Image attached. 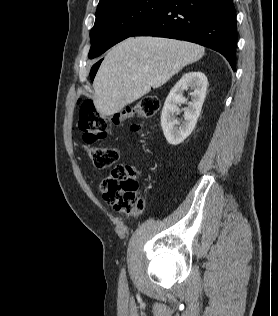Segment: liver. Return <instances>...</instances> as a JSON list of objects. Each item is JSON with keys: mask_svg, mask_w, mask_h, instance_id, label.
<instances>
[{"mask_svg": "<svg viewBox=\"0 0 278 316\" xmlns=\"http://www.w3.org/2000/svg\"><path fill=\"white\" fill-rule=\"evenodd\" d=\"M204 54V47L175 39L130 37L120 42L107 53L95 76L97 111L114 115Z\"/></svg>", "mask_w": 278, "mask_h": 316, "instance_id": "obj_1", "label": "liver"}]
</instances>
